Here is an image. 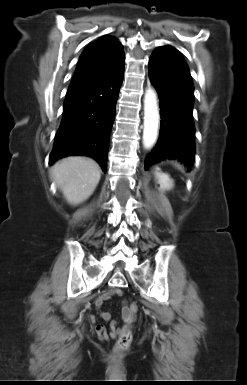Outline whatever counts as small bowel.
<instances>
[{
	"mask_svg": "<svg viewBox=\"0 0 247 385\" xmlns=\"http://www.w3.org/2000/svg\"><path fill=\"white\" fill-rule=\"evenodd\" d=\"M122 293L123 291L120 288H111L94 301V305L98 310V315H92L90 317L91 322L96 323L98 318H101L104 321L110 322L109 329H107L102 324L97 323L95 325V328H94L95 333L101 341H108L109 339H115L121 333L122 327L118 326V320L112 319L111 314L109 312L102 311L101 307L104 301L110 299L113 296H121ZM127 315H128L127 308L124 307L121 312V318L125 320ZM127 328L130 330L131 326L128 325Z\"/></svg>",
	"mask_w": 247,
	"mask_h": 385,
	"instance_id": "obj_1",
	"label": "small bowel"
}]
</instances>
